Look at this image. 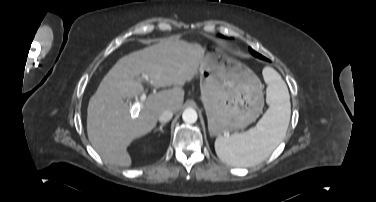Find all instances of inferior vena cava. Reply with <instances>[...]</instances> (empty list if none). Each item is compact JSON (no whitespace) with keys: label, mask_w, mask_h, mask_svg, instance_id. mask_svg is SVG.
Here are the masks:
<instances>
[{"label":"inferior vena cava","mask_w":376,"mask_h":202,"mask_svg":"<svg viewBox=\"0 0 376 202\" xmlns=\"http://www.w3.org/2000/svg\"><path fill=\"white\" fill-rule=\"evenodd\" d=\"M173 117V112L169 109L165 110L160 116L159 121L161 123H166Z\"/></svg>","instance_id":"602c4592"}]
</instances>
